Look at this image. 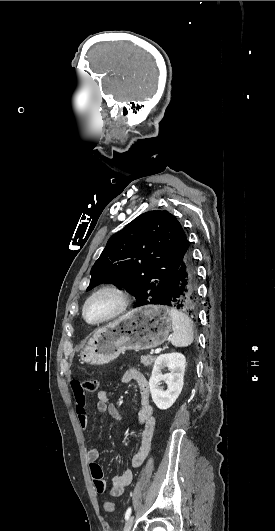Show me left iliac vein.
Here are the masks:
<instances>
[{
	"label": "left iliac vein",
	"mask_w": 275,
	"mask_h": 531,
	"mask_svg": "<svg viewBox=\"0 0 275 531\" xmlns=\"http://www.w3.org/2000/svg\"><path fill=\"white\" fill-rule=\"evenodd\" d=\"M133 524H134V517L131 516L126 524H125V527H124V531H131L132 527H133Z\"/></svg>",
	"instance_id": "obj_1"
}]
</instances>
